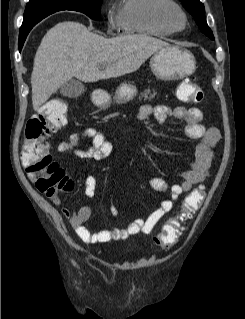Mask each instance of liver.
<instances>
[{"label":"liver","mask_w":245,"mask_h":319,"mask_svg":"<svg viewBox=\"0 0 245 319\" xmlns=\"http://www.w3.org/2000/svg\"><path fill=\"white\" fill-rule=\"evenodd\" d=\"M167 45L144 34L107 39L90 32L82 23L60 22L47 31L36 51L31 75L33 109L37 111L73 77L96 82L135 72ZM103 64L106 70L100 71Z\"/></svg>","instance_id":"liver-1"}]
</instances>
